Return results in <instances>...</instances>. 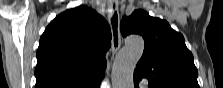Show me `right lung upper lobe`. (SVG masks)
Instances as JSON below:
<instances>
[{
	"label": "right lung upper lobe",
	"instance_id": "right-lung-upper-lobe-1",
	"mask_svg": "<svg viewBox=\"0 0 223 88\" xmlns=\"http://www.w3.org/2000/svg\"><path fill=\"white\" fill-rule=\"evenodd\" d=\"M110 46L109 25L91 8L59 14L40 39L35 87L91 88L104 76Z\"/></svg>",
	"mask_w": 223,
	"mask_h": 88
}]
</instances>
